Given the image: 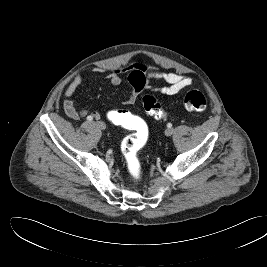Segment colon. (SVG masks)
I'll return each instance as SVG.
<instances>
[{"instance_id": "1", "label": "colon", "mask_w": 267, "mask_h": 267, "mask_svg": "<svg viewBox=\"0 0 267 267\" xmlns=\"http://www.w3.org/2000/svg\"><path fill=\"white\" fill-rule=\"evenodd\" d=\"M142 105L147 114L162 119L167 116L166 111L151 95H145L142 99ZM183 105L190 112L202 113L207 107L205 96L197 90L189 91L183 98ZM106 118L116 126H120L133 133L125 137L121 144V151L125 157L127 168L131 176L139 180L141 176V166L138 158L139 151L144 147L148 140V128L144 121L133 116L130 112L111 108L106 112Z\"/></svg>"}]
</instances>
